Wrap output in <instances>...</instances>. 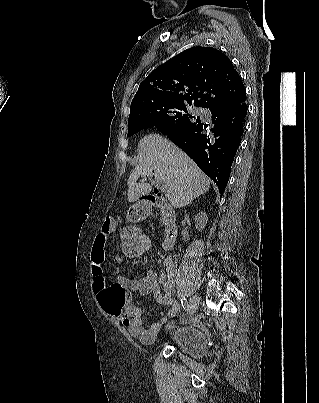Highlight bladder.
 <instances>
[{"label": "bladder", "mask_w": 319, "mask_h": 403, "mask_svg": "<svg viewBox=\"0 0 319 403\" xmlns=\"http://www.w3.org/2000/svg\"><path fill=\"white\" fill-rule=\"evenodd\" d=\"M162 329L166 341L181 354L189 358L200 360L205 353V333L196 327H182L174 318L165 319Z\"/></svg>", "instance_id": "1"}]
</instances>
